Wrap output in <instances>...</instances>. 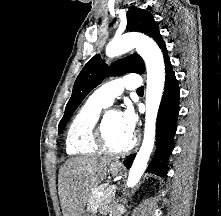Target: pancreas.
<instances>
[{
  "label": "pancreas",
  "instance_id": "1",
  "mask_svg": "<svg viewBox=\"0 0 221 216\" xmlns=\"http://www.w3.org/2000/svg\"><path fill=\"white\" fill-rule=\"evenodd\" d=\"M106 189V186L102 185L95 189L89 196L87 205L92 212L95 213L97 210L103 212L109 209V205L114 197L115 190L106 192ZM98 191H104L105 194L100 196L97 194Z\"/></svg>",
  "mask_w": 221,
  "mask_h": 216
}]
</instances>
